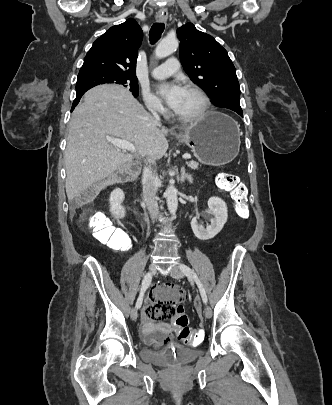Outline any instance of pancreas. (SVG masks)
<instances>
[{"instance_id":"cf45deb5","label":"pancreas","mask_w":332,"mask_h":405,"mask_svg":"<svg viewBox=\"0 0 332 405\" xmlns=\"http://www.w3.org/2000/svg\"><path fill=\"white\" fill-rule=\"evenodd\" d=\"M188 166H189L190 168L196 169V168H198L199 164H198L197 162H195V161H190V162L188 163Z\"/></svg>"}]
</instances>
